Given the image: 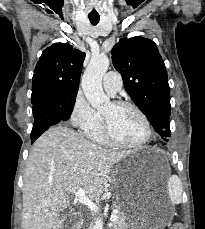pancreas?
Returning <instances> with one entry per match:
<instances>
[{
    "instance_id": "pancreas-1",
    "label": "pancreas",
    "mask_w": 205,
    "mask_h": 229,
    "mask_svg": "<svg viewBox=\"0 0 205 229\" xmlns=\"http://www.w3.org/2000/svg\"><path fill=\"white\" fill-rule=\"evenodd\" d=\"M114 208L119 210L115 215H117L118 219L115 221H112L111 223V229H126V221L125 218L120 210L119 204L114 205Z\"/></svg>"
}]
</instances>
